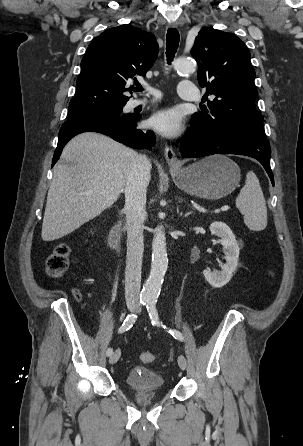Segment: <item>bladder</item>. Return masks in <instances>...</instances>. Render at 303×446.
Wrapping results in <instances>:
<instances>
[{
	"instance_id": "obj_1",
	"label": "bladder",
	"mask_w": 303,
	"mask_h": 446,
	"mask_svg": "<svg viewBox=\"0 0 303 446\" xmlns=\"http://www.w3.org/2000/svg\"><path fill=\"white\" fill-rule=\"evenodd\" d=\"M125 383L133 391H159L164 388L165 380L156 371L134 367L127 373Z\"/></svg>"
}]
</instances>
